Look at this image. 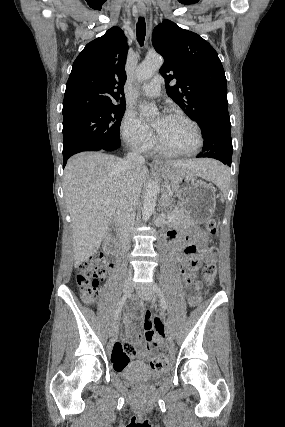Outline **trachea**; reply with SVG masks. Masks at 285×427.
<instances>
[{"label": "trachea", "mask_w": 285, "mask_h": 427, "mask_svg": "<svg viewBox=\"0 0 285 427\" xmlns=\"http://www.w3.org/2000/svg\"><path fill=\"white\" fill-rule=\"evenodd\" d=\"M136 35L137 41L141 46L144 44L145 35H146V23L143 17H139L137 26H136Z\"/></svg>", "instance_id": "obj_1"}]
</instances>
